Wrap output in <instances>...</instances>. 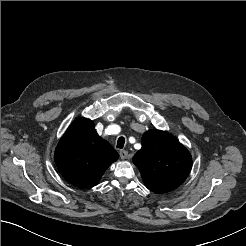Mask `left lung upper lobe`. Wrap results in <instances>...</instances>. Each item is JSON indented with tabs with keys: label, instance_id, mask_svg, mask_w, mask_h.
I'll return each instance as SVG.
<instances>
[{
	"label": "left lung upper lobe",
	"instance_id": "1",
	"mask_svg": "<svg viewBox=\"0 0 246 246\" xmlns=\"http://www.w3.org/2000/svg\"><path fill=\"white\" fill-rule=\"evenodd\" d=\"M133 162L149 190L165 193L184 182L191 170L192 157L173 135L150 130L143 135L142 148Z\"/></svg>",
	"mask_w": 246,
	"mask_h": 246
}]
</instances>
